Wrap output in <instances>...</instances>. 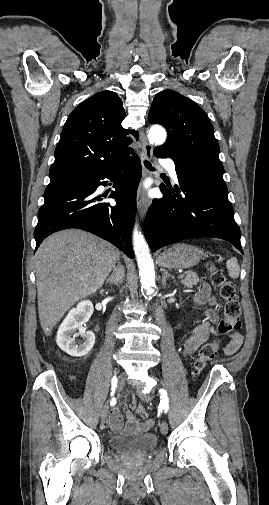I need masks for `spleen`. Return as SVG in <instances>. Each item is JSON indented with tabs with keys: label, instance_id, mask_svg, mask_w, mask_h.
Returning a JSON list of instances; mask_svg holds the SVG:
<instances>
[{
	"label": "spleen",
	"instance_id": "spleen-1",
	"mask_svg": "<svg viewBox=\"0 0 269 505\" xmlns=\"http://www.w3.org/2000/svg\"><path fill=\"white\" fill-rule=\"evenodd\" d=\"M226 267L228 270V275L231 278L236 279L239 277L240 267H239L238 261L235 257H231L227 260Z\"/></svg>",
	"mask_w": 269,
	"mask_h": 505
}]
</instances>
